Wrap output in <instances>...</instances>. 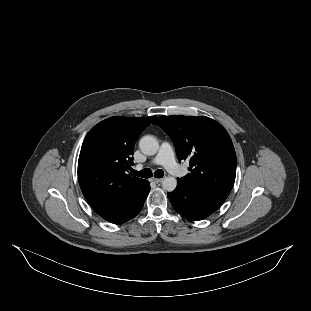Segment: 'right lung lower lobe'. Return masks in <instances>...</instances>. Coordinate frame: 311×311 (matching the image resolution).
Returning a JSON list of instances; mask_svg holds the SVG:
<instances>
[{
	"label": "right lung lower lobe",
	"instance_id": "right-lung-lower-lobe-1",
	"mask_svg": "<svg viewBox=\"0 0 311 311\" xmlns=\"http://www.w3.org/2000/svg\"><path fill=\"white\" fill-rule=\"evenodd\" d=\"M149 191H150V184L147 181L142 193L131 203V205L122 214L113 218L109 222L115 224H122L135 217L141 211Z\"/></svg>",
	"mask_w": 311,
	"mask_h": 311
}]
</instances>
